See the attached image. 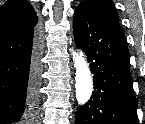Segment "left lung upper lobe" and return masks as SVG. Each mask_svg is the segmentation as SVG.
Listing matches in <instances>:
<instances>
[{
	"label": "left lung upper lobe",
	"instance_id": "1",
	"mask_svg": "<svg viewBox=\"0 0 145 124\" xmlns=\"http://www.w3.org/2000/svg\"><path fill=\"white\" fill-rule=\"evenodd\" d=\"M78 8L86 9L100 20L120 27L112 0H83Z\"/></svg>",
	"mask_w": 145,
	"mask_h": 124
}]
</instances>
